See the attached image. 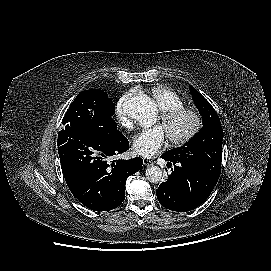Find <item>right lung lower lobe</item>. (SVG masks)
<instances>
[{"label":"right lung lower lobe","instance_id":"98d812e1","mask_svg":"<svg viewBox=\"0 0 271 271\" xmlns=\"http://www.w3.org/2000/svg\"><path fill=\"white\" fill-rule=\"evenodd\" d=\"M58 154L63 176L71 193L94 211L117 208L125 199V182L143 164L140 157L117 160L108 158L129 148L120 132H88L80 126L65 125L58 133Z\"/></svg>","mask_w":271,"mask_h":271}]
</instances>
